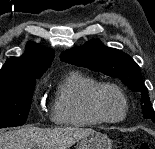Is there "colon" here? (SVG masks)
I'll return each mask as SVG.
<instances>
[{
  "instance_id": "5ec220e1",
  "label": "colon",
  "mask_w": 155,
  "mask_h": 149,
  "mask_svg": "<svg viewBox=\"0 0 155 149\" xmlns=\"http://www.w3.org/2000/svg\"><path fill=\"white\" fill-rule=\"evenodd\" d=\"M133 148L134 149H150V145L148 143H139V144H136Z\"/></svg>"
}]
</instances>
